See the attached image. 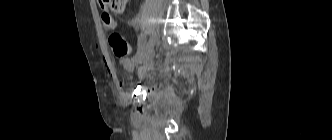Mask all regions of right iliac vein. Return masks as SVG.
Masks as SVG:
<instances>
[{
	"instance_id": "right-iliac-vein-1",
	"label": "right iliac vein",
	"mask_w": 332,
	"mask_h": 140,
	"mask_svg": "<svg viewBox=\"0 0 332 140\" xmlns=\"http://www.w3.org/2000/svg\"><path fill=\"white\" fill-rule=\"evenodd\" d=\"M155 42H156V37H155L154 34H152V36L150 37V39H149L142 55L138 59V61L140 63L148 62L152 58V52H153Z\"/></svg>"
}]
</instances>
